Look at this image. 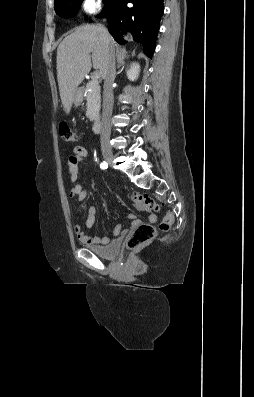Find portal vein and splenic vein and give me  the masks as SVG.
<instances>
[{
  "mask_svg": "<svg viewBox=\"0 0 254 397\" xmlns=\"http://www.w3.org/2000/svg\"><path fill=\"white\" fill-rule=\"evenodd\" d=\"M100 72H98V71H95L94 73H93V80H97L98 78H100Z\"/></svg>",
  "mask_w": 254,
  "mask_h": 397,
  "instance_id": "1",
  "label": "portal vein and splenic vein"
}]
</instances>
